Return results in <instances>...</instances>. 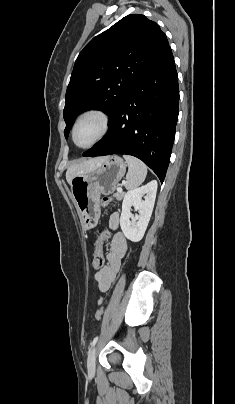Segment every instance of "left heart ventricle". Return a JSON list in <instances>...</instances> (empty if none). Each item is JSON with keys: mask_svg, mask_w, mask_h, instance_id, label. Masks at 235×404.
<instances>
[{"mask_svg": "<svg viewBox=\"0 0 235 404\" xmlns=\"http://www.w3.org/2000/svg\"><path fill=\"white\" fill-rule=\"evenodd\" d=\"M100 131V121L96 117L84 119L76 130V142L79 145H85L91 142Z\"/></svg>", "mask_w": 235, "mask_h": 404, "instance_id": "obj_1", "label": "left heart ventricle"}]
</instances>
